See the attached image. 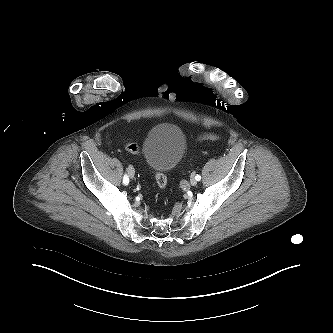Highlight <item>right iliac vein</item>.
<instances>
[{
	"mask_svg": "<svg viewBox=\"0 0 333 333\" xmlns=\"http://www.w3.org/2000/svg\"><path fill=\"white\" fill-rule=\"evenodd\" d=\"M128 174H129L130 178H134L135 171H134V168L132 166H130L128 168Z\"/></svg>",
	"mask_w": 333,
	"mask_h": 333,
	"instance_id": "1",
	"label": "right iliac vein"
}]
</instances>
